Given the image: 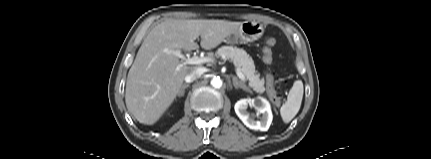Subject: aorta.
Masks as SVG:
<instances>
[{
	"label": "aorta",
	"instance_id": "1",
	"mask_svg": "<svg viewBox=\"0 0 431 159\" xmlns=\"http://www.w3.org/2000/svg\"><path fill=\"white\" fill-rule=\"evenodd\" d=\"M211 85L214 88H220L222 86V80L219 77H213L211 80Z\"/></svg>",
	"mask_w": 431,
	"mask_h": 159
}]
</instances>
